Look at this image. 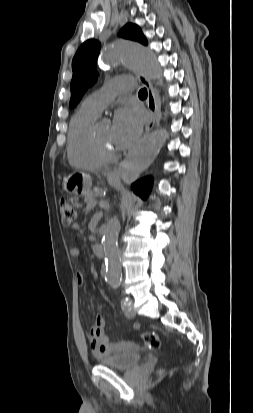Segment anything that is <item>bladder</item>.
Returning <instances> with one entry per match:
<instances>
[{"mask_svg":"<svg viewBox=\"0 0 253 413\" xmlns=\"http://www.w3.org/2000/svg\"><path fill=\"white\" fill-rule=\"evenodd\" d=\"M141 360L142 353L137 348L130 347L100 358L99 363L113 369L128 370L138 365Z\"/></svg>","mask_w":253,"mask_h":413,"instance_id":"obj_1","label":"bladder"}]
</instances>
